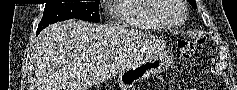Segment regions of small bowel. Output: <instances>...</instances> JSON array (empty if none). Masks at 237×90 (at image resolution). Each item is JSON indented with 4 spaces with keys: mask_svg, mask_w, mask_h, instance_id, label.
<instances>
[{
    "mask_svg": "<svg viewBox=\"0 0 237 90\" xmlns=\"http://www.w3.org/2000/svg\"><path fill=\"white\" fill-rule=\"evenodd\" d=\"M187 90H198V89L195 88V87H192V88H189V89H187Z\"/></svg>",
    "mask_w": 237,
    "mask_h": 90,
    "instance_id": "1",
    "label": "small bowel"
}]
</instances>
